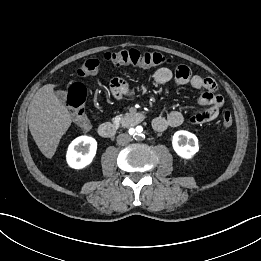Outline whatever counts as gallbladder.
I'll return each instance as SVG.
<instances>
[{"mask_svg":"<svg viewBox=\"0 0 261 261\" xmlns=\"http://www.w3.org/2000/svg\"><path fill=\"white\" fill-rule=\"evenodd\" d=\"M56 94L61 101H65L67 98V92L64 90H58Z\"/></svg>","mask_w":261,"mask_h":261,"instance_id":"bac80fb5","label":"gallbladder"}]
</instances>
